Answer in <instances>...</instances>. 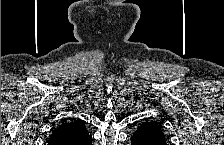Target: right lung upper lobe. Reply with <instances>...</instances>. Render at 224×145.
<instances>
[{
    "instance_id": "right-lung-upper-lobe-1",
    "label": "right lung upper lobe",
    "mask_w": 224,
    "mask_h": 145,
    "mask_svg": "<svg viewBox=\"0 0 224 145\" xmlns=\"http://www.w3.org/2000/svg\"><path fill=\"white\" fill-rule=\"evenodd\" d=\"M91 138L86 127L77 120L62 123L51 134L48 145H86Z\"/></svg>"
}]
</instances>
